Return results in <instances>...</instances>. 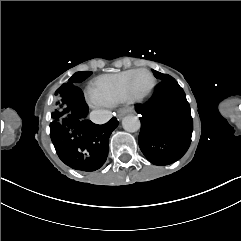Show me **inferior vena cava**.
<instances>
[{
	"label": "inferior vena cava",
	"instance_id": "obj_1",
	"mask_svg": "<svg viewBox=\"0 0 241 241\" xmlns=\"http://www.w3.org/2000/svg\"><path fill=\"white\" fill-rule=\"evenodd\" d=\"M90 120L95 124H105L112 118V113L103 110L92 111L89 115Z\"/></svg>",
	"mask_w": 241,
	"mask_h": 241
}]
</instances>
